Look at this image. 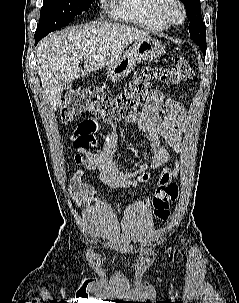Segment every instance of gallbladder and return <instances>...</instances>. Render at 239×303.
<instances>
[{
  "mask_svg": "<svg viewBox=\"0 0 239 303\" xmlns=\"http://www.w3.org/2000/svg\"><path fill=\"white\" fill-rule=\"evenodd\" d=\"M71 87H72V83H71V82L65 83V84H64V89H65V90H68V89H70Z\"/></svg>",
  "mask_w": 239,
  "mask_h": 303,
  "instance_id": "bac80fb5",
  "label": "gallbladder"
}]
</instances>
